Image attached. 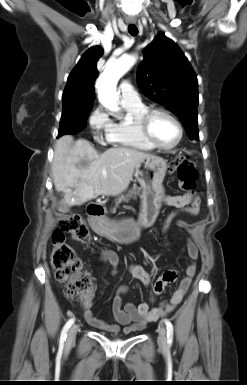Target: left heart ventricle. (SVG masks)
Wrapping results in <instances>:
<instances>
[{"instance_id": "1", "label": "left heart ventricle", "mask_w": 247, "mask_h": 385, "mask_svg": "<svg viewBox=\"0 0 247 385\" xmlns=\"http://www.w3.org/2000/svg\"><path fill=\"white\" fill-rule=\"evenodd\" d=\"M151 133L154 139L163 146L174 144L178 138L175 123L164 115H156L151 122Z\"/></svg>"}]
</instances>
